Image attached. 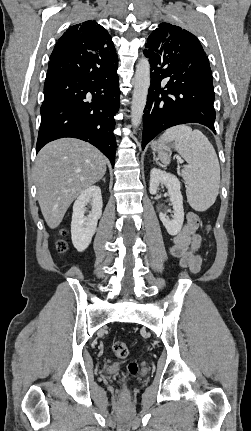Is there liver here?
<instances>
[{
  "label": "liver",
  "mask_w": 251,
  "mask_h": 431,
  "mask_svg": "<svg viewBox=\"0 0 251 431\" xmlns=\"http://www.w3.org/2000/svg\"><path fill=\"white\" fill-rule=\"evenodd\" d=\"M106 172V159L84 141L64 138L48 143L35 162L37 198L51 229L59 226L71 203Z\"/></svg>",
  "instance_id": "liver-1"
}]
</instances>
